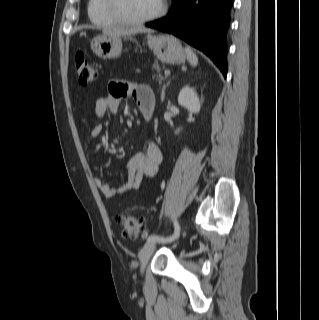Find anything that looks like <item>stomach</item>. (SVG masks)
Segmentation results:
<instances>
[{"label": "stomach", "instance_id": "1", "mask_svg": "<svg viewBox=\"0 0 319 320\" xmlns=\"http://www.w3.org/2000/svg\"><path fill=\"white\" fill-rule=\"evenodd\" d=\"M147 45L163 63L180 64L186 54L180 42L172 35H148ZM92 51L102 59H114L121 55L122 38L120 35H98L91 41Z\"/></svg>", "mask_w": 319, "mask_h": 320}]
</instances>
